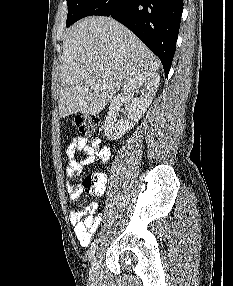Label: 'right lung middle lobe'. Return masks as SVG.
Masks as SVG:
<instances>
[{
    "label": "right lung middle lobe",
    "mask_w": 233,
    "mask_h": 286,
    "mask_svg": "<svg viewBox=\"0 0 233 286\" xmlns=\"http://www.w3.org/2000/svg\"><path fill=\"white\" fill-rule=\"evenodd\" d=\"M94 0H67L68 4V15L66 21V27L76 22L84 10L93 2Z\"/></svg>",
    "instance_id": "1"
}]
</instances>
